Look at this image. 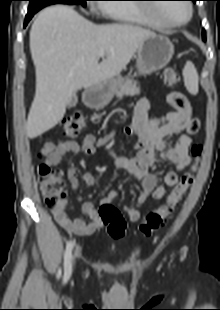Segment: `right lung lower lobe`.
<instances>
[{
	"mask_svg": "<svg viewBox=\"0 0 220 310\" xmlns=\"http://www.w3.org/2000/svg\"><path fill=\"white\" fill-rule=\"evenodd\" d=\"M36 12H30L28 11L26 18H25V23H24V27L27 25V23L30 21V19L34 16Z\"/></svg>",
	"mask_w": 220,
	"mask_h": 310,
	"instance_id": "right-lung-lower-lobe-1",
	"label": "right lung lower lobe"
}]
</instances>
